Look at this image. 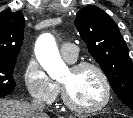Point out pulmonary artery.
<instances>
[{
	"instance_id": "e3ab8cb5",
	"label": "pulmonary artery",
	"mask_w": 133,
	"mask_h": 118,
	"mask_svg": "<svg viewBox=\"0 0 133 118\" xmlns=\"http://www.w3.org/2000/svg\"><path fill=\"white\" fill-rule=\"evenodd\" d=\"M60 52L67 61H74L78 56V48L71 43L61 45Z\"/></svg>"
}]
</instances>
